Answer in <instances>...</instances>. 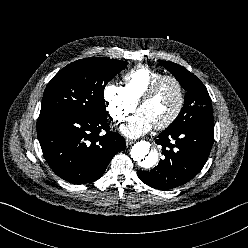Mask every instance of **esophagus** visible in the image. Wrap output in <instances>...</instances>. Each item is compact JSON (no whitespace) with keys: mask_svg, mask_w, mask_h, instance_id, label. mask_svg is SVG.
Segmentation results:
<instances>
[{"mask_svg":"<svg viewBox=\"0 0 248 248\" xmlns=\"http://www.w3.org/2000/svg\"><path fill=\"white\" fill-rule=\"evenodd\" d=\"M133 143H134L133 140L126 139V146H127V147L131 146Z\"/></svg>","mask_w":248,"mask_h":248,"instance_id":"1","label":"esophagus"}]
</instances>
